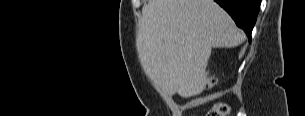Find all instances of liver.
<instances>
[{
  "mask_svg": "<svg viewBox=\"0 0 305 116\" xmlns=\"http://www.w3.org/2000/svg\"><path fill=\"white\" fill-rule=\"evenodd\" d=\"M244 40V33L213 0H149L136 43L151 80L188 98L206 85L212 47L233 48Z\"/></svg>",
  "mask_w": 305,
  "mask_h": 116,
  "instance_id": "liver-1",
  "label": "liver"
}]
</instances>
